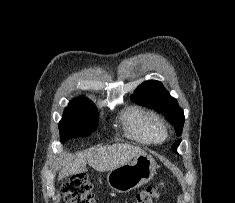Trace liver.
<instances>
[{"instance_id":"6515ba94","label":"liver","mask_w":235,"mask_h":203,"mask_svg":"<svg viewBox=\"0 0 235 203\" xmlns=\"http://www.w3.org/2000/svg\"><path fill=\"white\" fill-rule=\"evenodd\" d=\"M142 154L146 153L141 148L129 144L91 148L76 155L63 154L59 178L86 172L87 164L98 172L110 171L131 162L132 159Z\"/></svg>"}]
</instances>
